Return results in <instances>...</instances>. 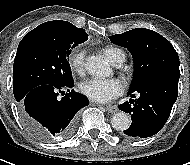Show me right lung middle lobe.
Segmentation results:
<instances>
[{"label": "right lung middle lobe", "mask_w": 190, "mask_h": 165, "mask_svg": "<svg viewBox=\"0 0 190 165\" xmlns=\"http://www.w3.org/2000/svg\"><path fill=\"white\" fill-rule=\"evenodd\" d=\"M84 29L54 20L30 31L19 43L13 65V93L17 102L40 85L74 82L69 55L87 40Z\"/></svg>", "instance_id": "obj_1"}]
</instances>
